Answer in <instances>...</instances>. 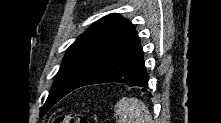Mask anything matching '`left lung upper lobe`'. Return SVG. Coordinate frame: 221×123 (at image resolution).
Returning <instances> with one entry per match:
<instances>
[{"instance_id":"5c2ea615","label":"left lung upper lobe","mask_w":221,"mask_h":123,"mask_svg":"<svg viewBox=\"0 0 221 123\" xmlns=\"http://www.w3.org/2000/svg\"><path fill=\"white\" fill-rule=\"evenodd\" d=\"M140 43L134 25L109 14L90 26L66 51L41 115L101 67Z\"/></svg>"}]
</instances>
